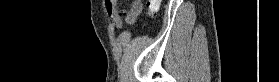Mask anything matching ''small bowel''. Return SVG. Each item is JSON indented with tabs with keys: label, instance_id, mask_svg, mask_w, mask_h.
Returning <instances> with one entry per match:
<instances>
[{
	"label": "small bowel",
	"instance_id": "obj_1",
	"mask_svg": "<svg viewBox=\"0 0 279 82\" xmlns=\"http://www.w3.org/2000/svg\"><path fill=\"white\" fill-rule=\"evenodd\" d=\"M106 8L109 14V17L115 24V26L121 28L124 23L126 24H133L137 17L139 16L141 9L136 11L139 6H137V1H133L131 6L127 9H119L117 7L116 1H106Z\"/></svg>",
	"mask_w": 279,
	"mask_h": 82
}]
</instances>
